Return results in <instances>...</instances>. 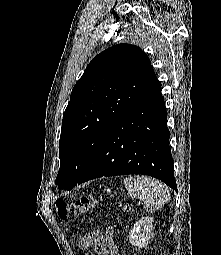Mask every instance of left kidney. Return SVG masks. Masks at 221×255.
I'll return each mask as SVG.
<instances>
[{
    "mask_svg": "<svg viewBox=\"0 0 221 255\" xmlns=\"http://www.w3.org/2000/svg\"><path fill=\"white\" fill-rule=\"evenodd\" d=\"M153 218L142 217L138 220L129 233V242L138 248L147 246L153 231Z\"/></svg>",
    "mask_w": 221,
    "mask_h": 255,
    "instance_id": "1",
    "label": "left kidney"
}]
</instances>
